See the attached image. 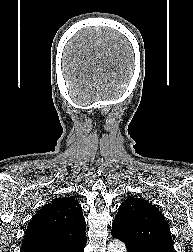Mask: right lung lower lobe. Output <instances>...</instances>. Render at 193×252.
<instances>
[{"mask_svg":"<svg viewBox=\"0 0 193 252\" xmlns=\"http://www.w3.org/2000/svg\"><path fill=\"white\" fill-rule=\"evenodd\" d=\"M86 245V241L77 245L76 247H74L71 250H68L67 252H84V247Z\"/></svg>","mask_w":193,"mask_h":252,"instance_id":"1","label":"right lung lower lobe"}]
</instances>
